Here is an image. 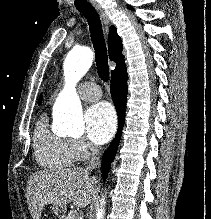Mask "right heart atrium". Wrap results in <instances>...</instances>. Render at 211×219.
I'll list each match as a JSON object with an SVG mask.
<instances>
[{
    "label": "right heart atrium",
    "mask_w": 211,
    "mask_h": 219,
    "mask_svg": "<svg viewBox=\"0 0 211 219\" xmlns=\"http://www.w3.org/2000/svg\"><path fill=\"white\" fill-rule=\"evenodd\" d=\"M69 148L78 161L88 159L95 151V148L83 138L67 139Z\"/></svg>",
    "instance_id": "right-heart-atrium-1"
}]
</instances>
